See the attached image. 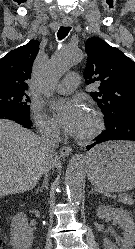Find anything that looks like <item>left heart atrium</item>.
Listing matches in <instances>:
<instances>
[{"mask_svg":"<svg viewBox=\"0 0 135 249\" xmlns=\"http://www.w3.org/2000/svg\"><path fill=\"white\" fill-rule=\"evenodd\" d=\"M58 124L71 135H79L87 120L86 107L79 101H59L52 107Z\"/></svg>","mask_w":135,"mask_h":249,"instance_id":"39dd6f15","label":"left heart atrium"}]
</instances>
